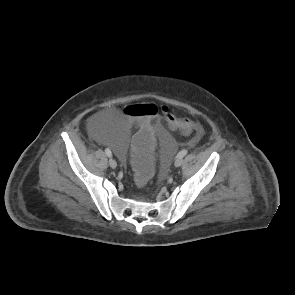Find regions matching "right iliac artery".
Instances as JSON below:
<instances>
[{
    "label": "right iliac artery",
    "mask_w": 295,
    "mask_h": 295,
    "mask_svg": "<svg viewBox=\"0 0 295 295\" xmlns=\"http://www.w3.org/2000/svg\"><path fill=\"white\" fill-rule=\"evenodd\" d=\"M105 153H106V155H107L108 157H111V156H112V152H111V150H110L109 148H106V149H105Z\"/></svg>",
    "instance_id": "obj_1"
}]
</instances>
